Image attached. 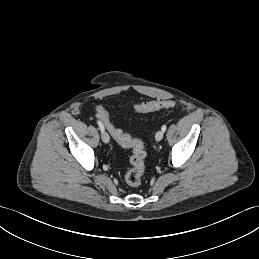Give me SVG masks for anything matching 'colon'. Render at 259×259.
Instances as JSON below:
<instances>
[{
    "mask_svg": "<svg viewBox=\"0 0 259 259\" xmlns=\"http://www.w3.org/2000/svg\"><path fill=\"white\" fill-rule=\"evenodd\" d=\"M174 104L175 103L172 100H157L136 105L133 110L138 113H148L163 108L173 107ZM98 117L103 126L121 146L132 149V155L130 158L131 168L125 175V181L131 187H138L142 182V176L145 171L146 152L142 141L140 139L133 138L116 128L110 121L105 109L100 108L98 110Z\"/></svg>",
    "mask_w": 259,
    "mask_h": 259,
    "instance_id": "1",
    "label": "colon"
}]
</instances>
